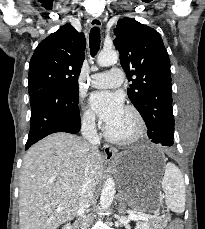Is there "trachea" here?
<instances>
[{"label":"trachea","mask_w":205,"mask_h":229,"mask_svg":"<svg viewBox=\"0 0 205 229\" xmlns=\"http://www.w3.org/2000/svg\"><path fill=\"white\" fill-rule=\"evenodd\" d=\"M89 44L91 56L94 57L100 48V29L98 27H93L89 35Z\"/></svg>","instance_id":"1"}]
</instances>
